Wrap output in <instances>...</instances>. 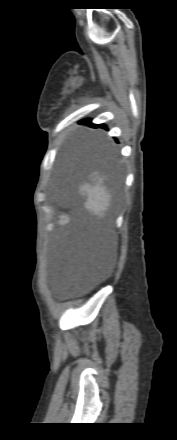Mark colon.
Wrapping results in <instances>:
<instances>
[{"instance_id": "obj_1", "label": "colon", "mask_w": 177, "mask_h": 440, "mask_svg": "<svg viewBox=\"0 0 177 440\" xmlns=\"http://www.w3.org/2000/svg\"><path fill=\"white\" fill-rule=\"evenodd\" d=\"M67 221V218L66 217H62L61 218V222H66Z\"/></svg>"}]
</instances>
